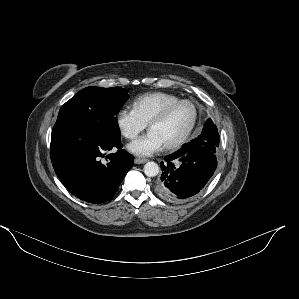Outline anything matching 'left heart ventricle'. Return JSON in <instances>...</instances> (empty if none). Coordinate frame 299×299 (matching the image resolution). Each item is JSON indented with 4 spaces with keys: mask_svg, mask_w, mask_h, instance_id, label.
Here are the masks:
<instances>
[{
    "mask_svg": "<svg viewBox=\"0 0 299 299\" xmlns=\"http://www.w3.org/2000/svg\"><path fill=\"white\" fill-rule=\"evenodd\" d=\"M193 116L192 106L182 104L174 109L164 121L154 125L150 131L155 133L165 146L177 140L187 130Z\"/></svg>",
    "mask_w": 299,
    "mask_h": 299,
    "instance_id": "obj_1",
    "label": "left heart ventricle"
}]
</instances>
